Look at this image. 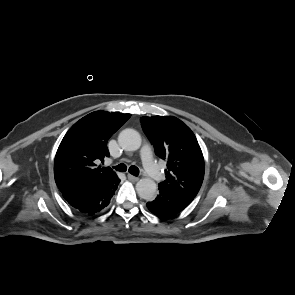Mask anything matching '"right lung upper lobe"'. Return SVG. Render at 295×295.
<instances>
[{
    "label": "right lung upper lobe",
    "instance_id": "right-lung-upper-lobe-1",
    "mask_svg": "<svg viewBox=\"0 0 295 295\" xmlns=\"http://www.w3.org/2000/svg\"><path fill=\"white\" fill-rule=\"evenodd\" d=\"M130 114L92 112L76 122L57 150L54 176L61 193L87 191L116 175L109 167H97L109 157L108 139Z\"/></svg>",
    "mask_w": 295,
    "mask_h": 295
}]
</instances>
